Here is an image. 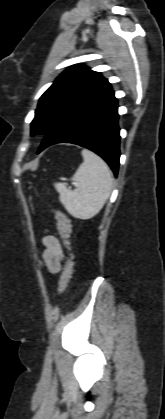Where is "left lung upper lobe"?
<instances>
[{"mask_svg": "<svg viewBox=\"0 0 165 419\" xmlns=\"http://www.w3.org/2000/svg\"><path fill=\"white\" fill-rule=\"evenodd\" d=\"M110 86L100 73L84 65L65 70L41 96L31 135L50 133L77 105Z\"/></svg>", "mask_w": 165, "mask_h": 419, "instance_id": "left-lung-upper-lobe-1", "label": "left lung upper lobe"}]
</instances>
